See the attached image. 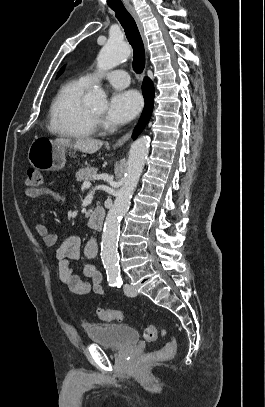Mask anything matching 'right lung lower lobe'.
Listing matches in <instances>:
<instances>
[{"instance_id":"right-lung-lower-lobe-1","label":"right lung lower lobe","mask_w":265,"mask_h":407,"mask_svg":"<svg viewBox=\"0 0 265 407\" xmlns=\"http://www.w3.org/2000/svg\"><path fill=\"white\" fill-rule=\"evenodd\" d=\"M142 92L145 98V107L142 112L140 121L138 126L136 127L133 138L135 139L140 132L143 130L144 126L147 124L149 121L152 110H153V104H154V86L150 78L145 77L143 84H142Z\"/></svg>"}]
</instances>
